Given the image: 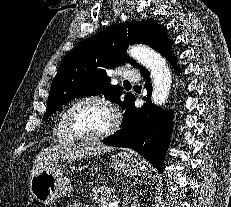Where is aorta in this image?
Here are the masks:
<instances>
[{"mask_svg":"<svg viewBox=\"0 0 231 207\" xmlns=\"http://www.w3.org/2000/svg\"><path fill=\"white\" fill-rule=\"evenodd\" d=\"M127 53L150 71L153 82L152 103L156 106L164 105L168 100L172 83L171 72L165 58L143 45L131 46Z\"/></svg>","mask_w":231,"mask_h":207,"instance_id":"aorta-1","label":"aorta"}]
</instances>
